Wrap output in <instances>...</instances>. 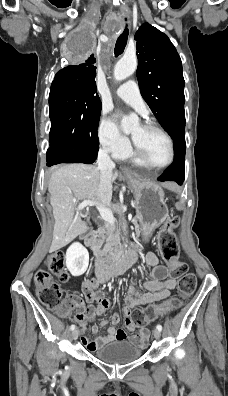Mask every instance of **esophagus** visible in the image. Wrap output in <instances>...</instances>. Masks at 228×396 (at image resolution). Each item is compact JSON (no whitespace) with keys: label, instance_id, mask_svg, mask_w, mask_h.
<instances>
[{"label":"esophagus","instance_id":"34e87169","mask_svg":"<svg viewBox=\"0 0 228 396\" xmlns=\"http://www.w3.org/2000/svg\"><path fill=\"white\" fill-rule=\"evenodd\" d=\"M121 12L123 15H128L130 13V10L126 8V9H122ZM121 170L125 174H132L131 170L126 167H121Z\"/></svg>","mask_w":228,"mask_h":396}]
</instances>
